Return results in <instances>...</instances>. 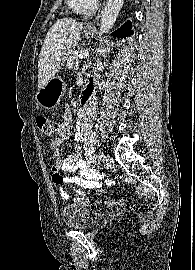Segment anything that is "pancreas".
I'll use <instances>...</instances> for the list:
<instances>
[{
    "label": "pancreas",
    "mask_w": 195,
    "mask_h": 270,
    "mask_svg": "<svg viewBox=\"0 0 195 270\" xmlns=\"http://www.w3.org/2000/svg\"><path fill=\"white\" fill-rule=\"evenodd\" d=\"M86 50L84 48H79L77 50H75L72 55L69 57L68 61H67V68L68 69H72L73 67H78L79 63H80V59L79 55L84 53Z\"/></svg>",
    "instance_id": "cf45deb5"
}]
</instances>
